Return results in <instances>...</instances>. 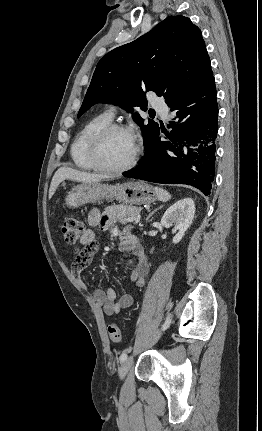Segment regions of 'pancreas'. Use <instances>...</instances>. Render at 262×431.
Listing matches in <instances>:
<instances>
[{"mask_svg": "<svg viewBox=\"0 0 262 431\" xmlns=\"http://www.w3.org/2000/svg\"><path fill=\"white\" fill-rule=\"evenodd\" d=\"M139 211V208L127 205H113L106 208V212L121 224L129 222L128 218L135 216Z\"/></svg>", "mask_w": 262, "mask_h": 431, "instance_id": "pancreas-1", "label": "pancreas"}]
</instances>
